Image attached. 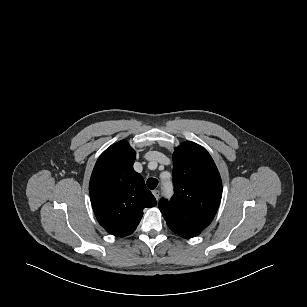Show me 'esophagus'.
<instances>
[{
  "label": "esophagus",
  "mask_w": 307,
  "mask_h": 307,
  "mask_svg": "<svg viewBox=\"0 0 307 307\" xmlns=\"http://www.w3.org/2000/svg\"><path fill=\"white\" fill-rule=\"evenodd\" d=\"M152 193H153L154 197L156 198V200H158L159 196H160V191L159 190H154Z\"/></svg>",
  "instance_id": "esophagus-1"
}]
</instances>
